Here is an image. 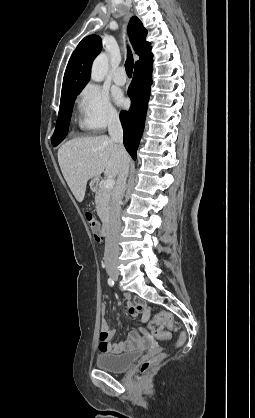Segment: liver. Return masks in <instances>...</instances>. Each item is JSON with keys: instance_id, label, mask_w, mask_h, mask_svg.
I'll use <instances>...</instances> for the list:
<instances>
[{"instance_id": "obj_1", "label": "liver", "mask_w": 255, "mask_h": 418, "mask_svg": "<svg viewBox=\"0 0 255 418\" xmlns=\"http://www.w3.org/2000/svg\"><path fill=\"white\" fill-rule=\"evenodd\" d=\"M123 156L120 146L106 135L71 139L58 150L60 169L78 202L84 199L89 179L103 172L110 178L118 175Z\"/></svg>"}]
</instances>
